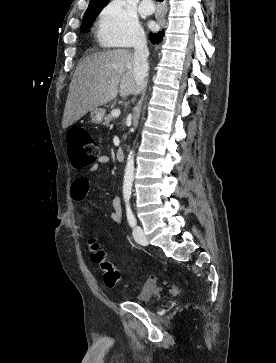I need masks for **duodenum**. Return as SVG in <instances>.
Masks as SVG:
<instances>
[{
  "mask_svg": "<svg viewBox=\"0 0 276 363\" xmlns=\"http://www.w3.org/2000/svg\"><path fill=\"white\" fill-rule=\"evenodd\" d=\"M116 158L118 161H123L125 159V151L122 148H119L116 151Z\"/></svg>",
  "mask_w": 276,
  "mask_h": 363,
  "instance_id": "1",
  "label": "duodenum"
}]
</instances>
